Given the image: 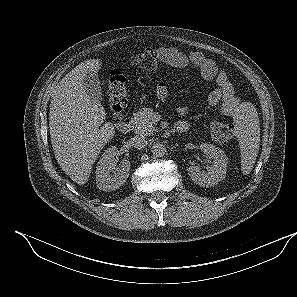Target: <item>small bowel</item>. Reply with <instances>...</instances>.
Segmentation results:
<instances>
[{
  "instance_id": "c3829d8e",
  "label": "small bowel",
  "mask_w": 297,
  "mask_h": 297,
  "mask_svg": "<svg viewBox=\"0 0 297 297\" xmlns=\"http://www.w3.org/2000/svg\"><path fill=\"white\" fill-rule=\"evenodd\" d=\"M159 58L166 64L185 68L193 67L197 69L206 80H215L217 89L210 93L207 99L209 106L220 105L221 112L230 117H237L242 110V102L235 95L234 88L226 72L218 67L212 60L205 57L199 51L184 53L173 47H160L157 49ZM157 96L164 101L168 97V86L165 82H160L157 86ZM179 114L183 118L179 122L186 123L188 111L186 108H179Z\"/></svg>"
}]
</instances>
